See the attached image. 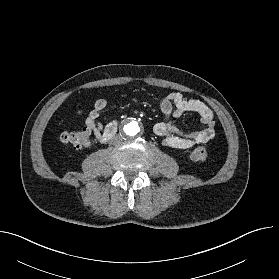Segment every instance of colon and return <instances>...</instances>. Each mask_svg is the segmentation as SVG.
Wrapping results in <instances>:
<instances>
[{
  "mask_svg": "<svg viewBox=\"0 0 279 279\" xmlns=\"http://www.w3.org/2000/svg\"><path fill=\"white\" fill-rule=\"evenodd\" d=\"M91 132L88 128H82L78 131H66L61 135V141L64 145L74 149H84L90 145ZM208 157V149L204 145L196 147L191 158L196 162H203Z\"/></svg>",
  "mask_w": 279,
  "mask_h": 279,
  "instance_id": "5ec220e1",
  "label": "colon"
}]
</instances>
